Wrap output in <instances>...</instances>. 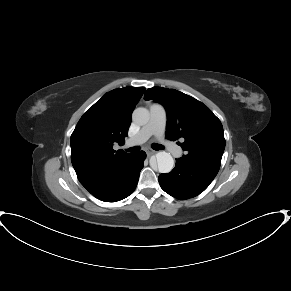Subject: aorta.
<instances>
[{
	"label": "aorta",
	"mask_w": 291,
	"mask_h": 291,
	"mask_svg": "<svg viewBox=\"0 0 291 291\" xmlns=\"http://www.w3.org/2000/svg\"><path fill=\"white\" fill-rule=\"evenodd\" d=\"M133 121L138 125H145L149 121V111L146 108H136L132 114ZM158 171L160 173H169L174 167V160L170 153L165 151L156 154Z\"/></svg>",
	"instance_id": "762f6f07"
}]
</instances>
